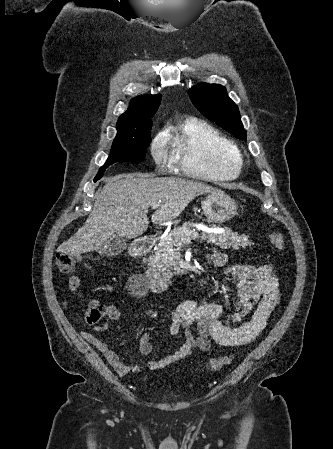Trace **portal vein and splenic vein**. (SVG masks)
<instances>
[{
	"instance_id": "18ae733b",
	"label": "portal vein and splenic vein",
	"mask_w": 333,
	"mask_h": 449,
	"mask_svg": "<svg viewBox=\"0 0 333 449\" xmlns=\"http://www.w3.org/2000/svg\"><path fill=\"white\" fill-rule=\"evenodd\" d=\"M159 206H161V201L154 202V203L151 204V208H153V209H156V208H158ZM183 231H184L187 235L191 236L192 238H198V237H199L198 232L190 231V230H187V229H185V228L183 229Z\"/></svg>"
}]
</instances>
